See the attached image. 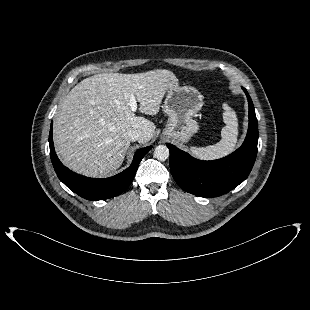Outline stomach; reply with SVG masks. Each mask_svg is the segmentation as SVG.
<instances>
[{"mask_svg": "<svg viewBox=\"0 0 310 310\" xmlns=\"http://www.w3.org/2000/svg\"><path fill=\"white\" fill-rule=\"evenodd\" d=\"M203 104V96L196 88L172 82L163 106L169 117L163 136L182 143L189 141L198 131V123L193 118Z\"/></svg>", "mask_w": 310, "mask_h": 310, "instance_id": "obj_1", "label": "stomach"}]
</instances>
